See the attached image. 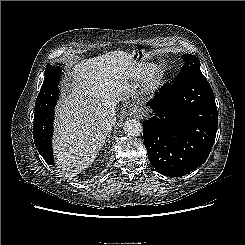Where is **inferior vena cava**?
<instances>
[{"label": "inferior vena cava", "mask_w": 245, "mask_h": 245, "mask_svg": "<svg viewBox=\"0 0 245 245\" xmlns=\"http://www.w3.org/2000/svg\"><path fill=\"white\" fill-rule=\"evenodd\" d=\"M115 104L109 99L103 100L96 108V113L107 128H111L116 122Z\"/></svg>", "instance_id": "1"}]
</instances>
